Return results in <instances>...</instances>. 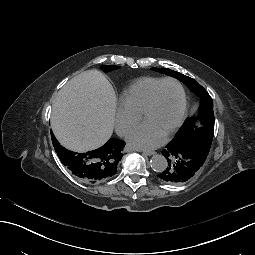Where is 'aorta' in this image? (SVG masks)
Masks as SVG:
<instances>
[{
    "mask_svg": "<svg viewBox=\"0 0 255 255\" xmlns=\"http://www.w3.org/2000/svg\"><path fill=\"white\" fill-rule=\"evenodd\" d=\"M168 162L161 154L153 155L150 160V166L153 171L161 173L167 168Z\"/></svg>",
    "mask_w": 255,
    "mask_h": 255,
    "instance_id": "1",
    "label": "aorta"
}]
</instances>
